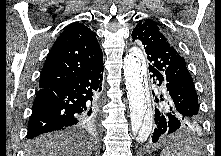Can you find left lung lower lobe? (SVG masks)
<instances>
[{
	"label": "left lung lower lobe",
	"instance_id": "0a47b994",
	"mask_svg": "<svg viewBox=\"0 0 221 156\" xmlns=\"http://www.w3.org/2000/svg\"><path fill=\"white\" fill-rule=\"evenodd\" d=\"M149 72L152 73L153 83L157 85L156 92H152L157 102L152 142L155 143L174 132L200 125V118H194L177 108L166 90V79L163 74L157 70H149Z\"/></svg>",
	"mask_w": 221,
	"mask_h": 156
}]
</instances>
